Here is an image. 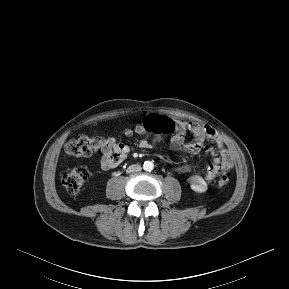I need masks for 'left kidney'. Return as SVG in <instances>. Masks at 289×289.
Returning <instances> with one entry per match:
<instances>
[{"label":"left kidney","instance_id":"left-kidney-1","mask_svg":"<svg viewBox=\"0 0 289 289\" xmlns=\"http://www.w3.org/2000/svg\"><path fill=\"white\" fill-rule=\"evenodd\" d=\"M189 181H190V188L193 191L202 193L207 190V183L202 177L195 175L190 177Z\"/></svg>","mask_w":289,"mask_h":289}]
</instances>
